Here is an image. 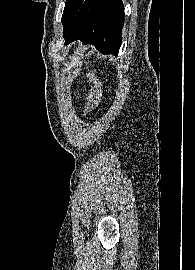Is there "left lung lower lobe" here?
<instances>
[{"instance_id": "obj_1", "label": "left lung lower lobe", "mask_w": 195, "mask_h": 270, "mask_svg": "<svg viewBox=\"0 0 195 270\" xmlns=\"http://www.w3.org/2000/svg\"><path fill=\"white\" fill-rule=\"evenodd\" d=\"M124 7L121 0H84L69 26L64 29L66 44L80 39L103 54L118 55L122 43Z\"/></svg>"}]
</instances>
